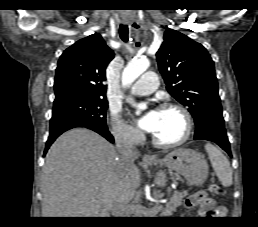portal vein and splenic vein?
Returning a JSON list of instances; mask_svg holds the SVG:
<instances>
[{"instance_id":"obj_1","label":"portal vein and splenic vein","mask_w":258,"mask_h":227,"mask_svg":"<svg viewBox=\"0 0 258 227\" xmlns=\"http://www.w3.org/2000/svg\"><path fill=\"white\" fill-rule=\"evenodd\" d=\"M161 205H156L154 206L152 209H159ZM124 207L123 206H117V209H123ZM145 207L141 206V205H132V206H127V209L128 210H131V211H137V212H141L143 211Z\"/></svg>"}]
</instances>
